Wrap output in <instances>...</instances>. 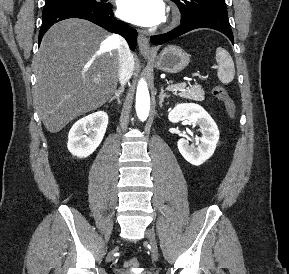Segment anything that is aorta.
Listing matches in <instances>:
<instances>
[{
    "label": "aorta",
    "instance_id": "1",
    "mask_svg": "<svg viewBox=\"0 0 289 274\" xmlns=\"http://www.w3.org/2000/svg\"><path fill=\"white\" fill-rule=\"evenodd\" d=\"M150 111V95L147 83L141 79L136 92V112L141 121H145Z\"/></svg>",
    "mask_w": 289,
    "mask_h": 274
}]
</instances>
